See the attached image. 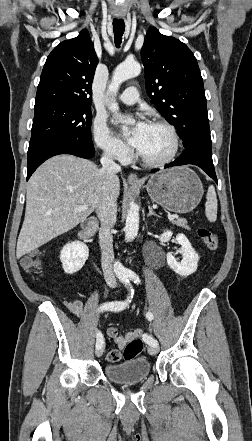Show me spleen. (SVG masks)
Here are the masks:
<instances>
[{
    "instance_id": "obj_1",
    "label": "spleen",
    "mask_w": 252,
    "mask_h": 441,
    "mask_svg": "<svg viewBox=\"0 0 252 441\" xmlns=\"http://www.w3.org/2000/svg\"><path fill=\"white\" fill-rule=\"evenodd\" d=\"M205 214L210 222L217 219V196L214 186H209L205 203Z\"/></svg>"
}]
</instances>
